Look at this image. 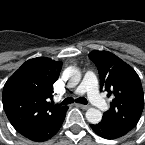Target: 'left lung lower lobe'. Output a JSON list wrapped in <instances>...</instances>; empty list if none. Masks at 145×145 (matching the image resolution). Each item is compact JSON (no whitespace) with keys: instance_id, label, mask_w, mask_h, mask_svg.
<instances>
[{"instance_id":"left-lung-lower-lobe-1","label":"left lung lower lobe","mask_w":145,"mask_h":145,"mask_svg":"<svg viewBox=\"0 0 145 145\" xmlns=\"http://www.w3.org/2000/svg\"><path fill=\"white\" fill-rule=\"evenodd\" d=\"M90 127L97 135H99L105 139H116V138H119V137L125 135V134L113 131L100 123L95 124V125L91 124Z\"/></svg>"}]
</instances>
